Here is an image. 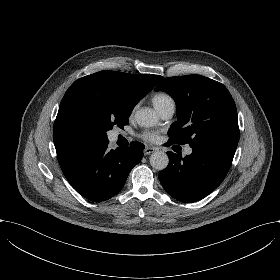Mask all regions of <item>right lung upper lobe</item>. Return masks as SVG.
Here are the masks:
<instances>
[{
	"label": "right lung upper lobe",
	"mask_w": 280,
	"mask_h": 280,
	"mask_svg": "<svg viewBox=\"0 0 280 280\" xmlns=\"http://www.w3.org/2000/svg\"><path fill=\"white\" fill-rule=\"evenodd\" d=\"M162 78L106 70L76 80L66 91L54 122L59 163L82 149L103 143L97 117L108 111L131 114Z\"/></svg>",
	"instance_id": "right-lung-upper-lobe-1"
}]
</instances>
